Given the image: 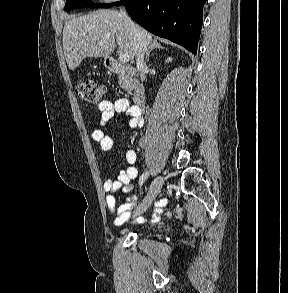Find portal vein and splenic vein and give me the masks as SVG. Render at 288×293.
<instances>
[{
  "mask_svg": "<svg viewBox=\"0 0 288 293\" xmlns=\"http://www.w3.org/2000/svg\"><path fill=\"white\" fill-rule=\"evenodd\" d=\"M129 59H130L129 54H127V53H120V54H119V60H120L121 62H128Z\"/></svg>",
  "mask_w": 288,
  "mask_h": 293,
  "instance_id": "1",
  "label": "portal vein and splenic vein"
}]
</instances>
